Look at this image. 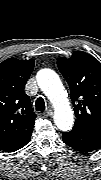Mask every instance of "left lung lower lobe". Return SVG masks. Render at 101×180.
Wrapping results in <instances>:
<instances>
[{"label":"left lung lower lobe","mask_w":101,"mask_h":180,"mask_svg":"<svg viewBox=\"0 0 101 180\" xmlns=\"http://www.w3.org/2000/svg\"><path fill=\"white\" fill-rule=\"evenodd\" d=\"M62 138L67 145L84 153L99 148L101 142V138L98 135L79 129L63 132Z\"/></svg>","instance_id":"0a47b994"}]
</instances>
